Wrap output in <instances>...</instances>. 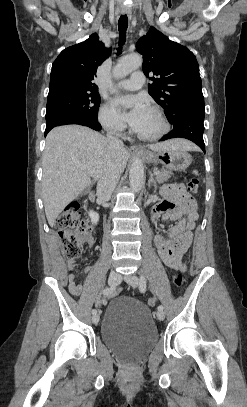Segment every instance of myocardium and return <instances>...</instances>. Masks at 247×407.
I'll list each match as a JSON object with an SVG mask.
<instances>
[{
  "label": "myocardium",
  "mask_w": 247,
  "mask_h": 407,
  "mask_svg": "<svg viewBox=\"0 0 247 407\" xmlns=\"http://www.w3.org/2000/svg\"><path fill=\"white\" fill-rule=\"evenodd\" d=\"M149 110L152 111L159 118L162 124L161 130L157 134L151 136L139 134L134 128L132 129V133L135 135L137 139L141 141L154 142L160 140L169 132L170 123L167 117L165 116L164 112L160 108L152 106L149 108Z\"/></svg>",
  "instance_id": "1"
}]
</instances>
